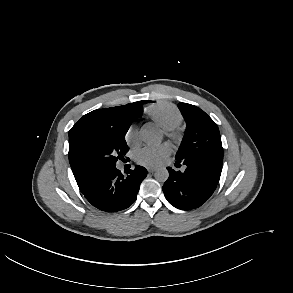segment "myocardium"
<instances>
[{"label": "myocardium", "instance_id": "f54148a6", "mask_svg": "<svg viewBox=\"0 0 293 293\" xmlns=\"http://www.w3.org/2000/svg\"><path fill=\"white\" fill-rule=\"evenodd\" d=\"M165 135L174 143H180L182 141V133L178 128L165 130Z\"/></svg>", "mask_w": 293, "mask_h": 293}]
</instances>
